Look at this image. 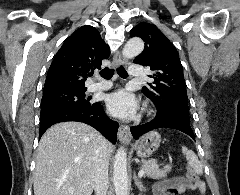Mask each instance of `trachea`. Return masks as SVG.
<instances>
[{"instance_id": "obj_1", "label": "trachea", "mask_w": 240, "mask_h": 195, "mask_svg": "<svg viewBox=\"0 0 240 195\" xmlns=\"http://www.w3.org/2000/svg\"><path fill=\"white\" fill-rule=\"evenodd\" d=\"M117 73L120 77L122 78H125L128 76L126 70L124 67H122V65H120L118 68H117ZM114 74V69H110L109 67L107 68H104L103 70H101L100 72V75L101 77H103L104 79L106 80H110L112 78Z\"/></svg>"}]
</instances>
